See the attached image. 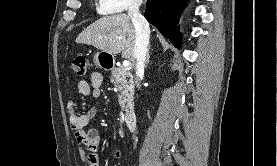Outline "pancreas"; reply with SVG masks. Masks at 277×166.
I'll list each match as a JSON object with an SVG mask.
<instances>
[{"mask_svg":"<svg viewBox=\"0 0 277 166\" xmlns=\"http://www.w3.org/2000/svg\"><path fill=\"white\" fill-rule=\"evenodd\" d=\"M111 82L118 88V102L121 110L128 111L132 107L134 95V82L131 72L124 66L114 68L111 74Z\"/></svg>","mask_w":277,"mask_h":166,"instance_id":"pancreas-1","label":"pancreas"}]
</instances>
